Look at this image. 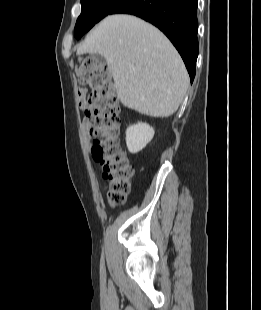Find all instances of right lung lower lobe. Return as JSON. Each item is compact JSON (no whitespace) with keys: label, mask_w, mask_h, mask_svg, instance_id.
<instances>
[{"label":"right lung lower lobe","mask_w":261,"mask_h":310,"mask_svg":"<svg viewBox=\"0 0 261 310\" xmlns=\"http://www.w3.org/2000/svg\"><path fill=\"white\" fill-rule=\"evenodd\" d=\"M136 15L158 27L180 53L193 82L198 56L197 0H124L110 14Z\"/></svg>","instance_id":"1"}]
</instances>
